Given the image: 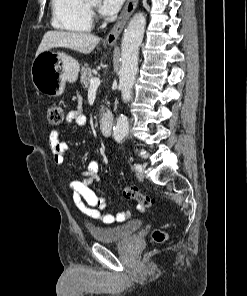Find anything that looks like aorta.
I'll return each instance as SVG.
<instances>
[{
	"mask_svg": "<svg viewBox=\"0 0 247 296\" xmlns=\"http://www.w3.org/2000/svg\"><path fill=\"white\" fill-rule=\"evenodd\" d=\"M146 18L142 12L136 13L124 31L121 43V69L119 88L124 102L132 99V88L138 71L139 47L142 43ZM129 131V122L124 115L116 119L113 136L120 143Z\"/></svg>",
	"mask_w": 247,
	"mask_h": 296,
	"instance_id": "1",
	"label": "aorta"
}]
</instances>
